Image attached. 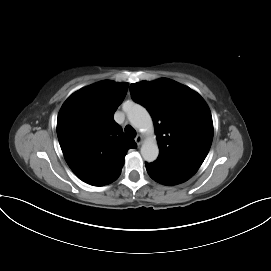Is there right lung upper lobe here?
I'll list each match as a JSON object with an SVG mask.
<instances>
[{
  "instance_id": "obj_1",
  "label": "right lung upper lobe",
  "mask_w": 271,
  "mask_h": 271,
  "mask_svg": "<svg viewBox=\"0 0 271 271\" xmlns=\"http://www.w3.org/2000/svg\"><path fill=\"white\" fill-rule=\"evenodd\" d=\"M127 83L105 80L73 93L57 119L58 140L65 160L82 181L103 186L113 182L127 150L136 148L113 114L124 100Z\"/></svg>"
}]
</instances>
